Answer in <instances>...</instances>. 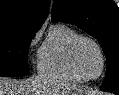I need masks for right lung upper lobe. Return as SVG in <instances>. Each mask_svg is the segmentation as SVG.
<instances>
[{"mask_svg":"<svg viewBox=\"0 0 119 95\" xmlns=\"http://www.w3.org/2000/svg\"><path fill=\"white\" fill-rule=\"evenodd\" d=\"M49 4L50 0H0V33L13 27L39 29Z\"/></svg>","mask_w":119,"mask_h":95,"instance_id":"obj_1","label":"right lung upper lobe"}]
</instances>
